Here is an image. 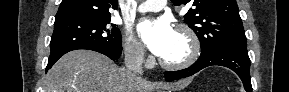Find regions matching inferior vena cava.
Segmentation results:
<instances>
[{
    "label": "inferior vena cava",
    "mask_w": 289,
    "mask_h": 92,
    "mask_svg": "<svg viewBox=\"0 0 289 92\" xmlns=\"http://www.w3.org/2000/svg\"><path fill=\"white\" fill-rule=\"evenodd\" d=\"M143 47L139 44L129 45L125 52L126 68L138 76L143 75L142 69Z\"/></svg>",
    "instance_id": "1"
}]
</instances>
